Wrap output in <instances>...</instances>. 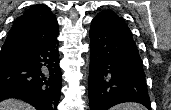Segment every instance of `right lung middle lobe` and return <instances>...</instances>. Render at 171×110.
Segmentation results:
<instances>
[{
	"mask_svg": "<svg viewBox=\"0 0 171 110\" xmlns=\"http://www.w3.org/2000/svg\"><path fill=\"white\" fill-rule=\"evenodd\" d=\"M24 60V54L0 55V70L8 69Z\"/></svg>",
	"mask_w": 171,
	"mask_h": 110,
	"instance_id": "dd1d6c3e",
	"label": "right lung middle lobe"
}]
</instances>
